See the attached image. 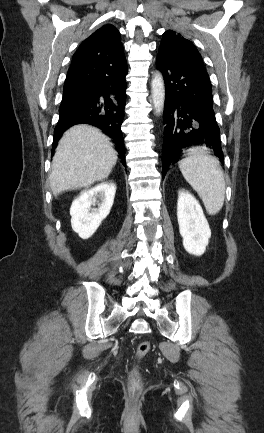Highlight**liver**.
I'll use <instances>...</instances> for the list:
<instances>
[{"label": "liver", "mask_w": 264, "mask_h": 433, "mask_svg": "<svg viewBox=\"0 0 264 433\" xmlns=\"http://www.w3.org/2000/svg\"><path fill=\"white\" fill-rule=\"evenodd\" d=\"M117 158L109 138L97 128L71 127L60 139L52 161L50 187L54 196L107 178Z\"/></svg>", "instance_id": "liver-1"}]
</instances>
